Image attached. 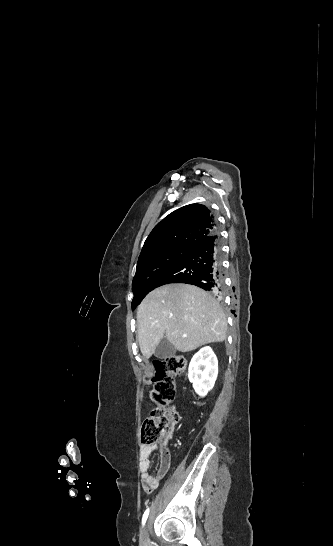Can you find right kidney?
<instances>
[{"label":"right kidney","instance_id":"right-kidney-1","mask_svg":"<svg viewBox=\"0 0 333 546\" xmlns=\"http://www.w3.org/2000/svg\"><path fill=\"white\" fill-rule=\"evenodd\" d=\"M218 375V361L210 347L200 349L191 359L188 378L195 392L204 397L214 387Z\"/></svg>","mask_w":333,"mask_h":546}]
</instances>
